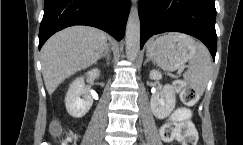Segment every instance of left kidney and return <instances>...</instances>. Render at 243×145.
<instances>
[{"label": "left kidney", "mask_w": 243, "mask_h": 145, "mask_svg": "<svg viewBox=\"0 0 243 145\" xmlns=\"http://www.w3.org/2000/svg\"><path fill=\"white\" fill-rule=\"evenodd\" d=\"M149 77L152 80H160L162 75L159 71L152 70L150 71ZM175 104V92L169 84L165 85L160 92L152 95L150 100L151 110L158 119H164L169 116L175 108Z\"/></svg>", "instance_id": "5707ae66"}]
</instances>
